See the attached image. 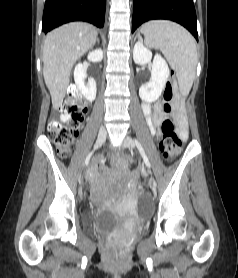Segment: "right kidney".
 <instances>
[{
    "label": "right kidney",
    "instance_id": "obj_1",
    "mask_svg": "<svg viewBox=\"0 0 238 278\" xmlns=\"http://www.w3.org/2000/svg\"><path fill=\"white\" fill-rule=\"evenodd\" d=\"M103 59V52L101 49H96L88 54V60L93 63H98ZM87 77L86 68L79 63L74 69V80L80 93L88 100L94 101L96 98V81L93 78L88 80L85 84V78Z\"/></svg>",
    "mask_w": 238,
    "mask_h": 278
}]
</instances>
